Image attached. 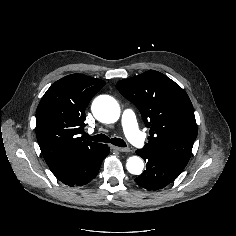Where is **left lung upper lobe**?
Wrapping results in <instances>:
<instances>
[{"label":"left lung upper lobe","mask_w":236,"mask_h":236,"mask_svg":"<svg viewBox=\"0 0 236 236\" xmlns=\"http://www.w3.org/2000/svg\"><path fill=\"white\" fill-rule=\"evenodd\" d=\"M116 87L139 109L150 128L149 142L144 148L184 169L197 137L194 109L187 93L154 70L121 80Z\"/></svg>","instance_id":"left-lung-upper-lobe-1"}]
</instances>
